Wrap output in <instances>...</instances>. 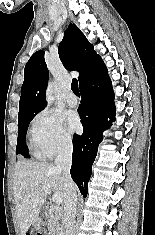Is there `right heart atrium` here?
Here are the masks:
<instances>
[{"label": "right heart atrium", "instance_id": "1", "mask_svg": "<svg viewBox=\"0 0 155 235\" xmlns=\"http://www.w3.org/2000/svg\"><path fill=\"white\" fill-rule=\"evenodd\" d=\"M31 137L36 148L47 157L69 151L73 139L61 116L50 109L40 111L31 123Z\"/></svg>", "mask_w": 155, "mask_h": 235}]
</instances>
